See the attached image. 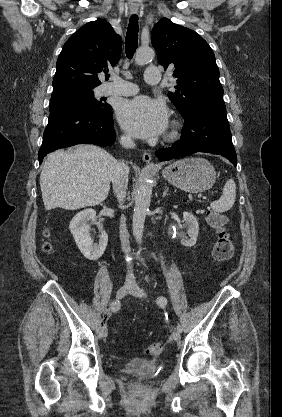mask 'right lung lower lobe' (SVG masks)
Returning <instances> with one entry per match:
<instances>
[{
  "mask_svg": "<svg viewBox=\"0 0 282 417\" xmlns=\"http://www.w3.org/2000/svg\"><path fill=\"white\" fill-rule=\"evenodd\" d=\"M112 107L70 105L50 112L43 142L38 152L39 163L46 154L81 143L101 147L115 141Z\"/></svg>",
  "mask_w": 282,
  "mask_h": 417,
  "instance_id": "98d812e1",
  "label": "right lung lower lobe"
}]
</instances>
